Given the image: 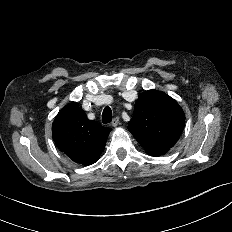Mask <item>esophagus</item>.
<instances>
[{
  "label": "esophagus",
  "instance_id": "obj_1",
  "mask_svg": "<svg viewBox=\"0 0 232 232\" xmlns=\"http://www.w3.org/2000/svg\"><path fill=\"white\" fill-rule=\"evenodd\" d=\"M118 124H119V117H115V118L112 120L111 125H112L113 127H116V126H118Z\"/></svg>",
  "mask_w": 232,
  "mask_h": 232
}]
</instances>
